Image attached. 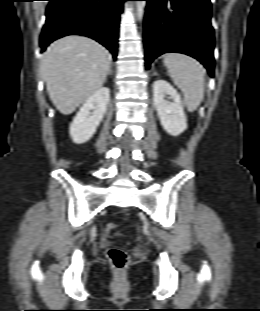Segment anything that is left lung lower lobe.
<instances>
[{
  "label": "left lung lower lobe",
  "instance_id": "left-lung-lower-lobe-1",
  "mask_svg": "<svg viewBox=\"0 0 260 311\" xmlns=\"http://www.w3.org/2000/svg\"><path fill=\"white\" fill-rule=\"evenodd\" d=\"M146 68L168 52L187 54L214 73V32L210 0H144Z\"/></svg>",
  "mask_w": 260,
  "mask_h": 311
}]
</instances>
